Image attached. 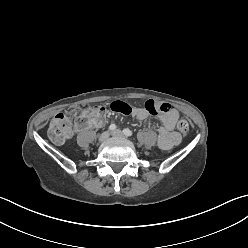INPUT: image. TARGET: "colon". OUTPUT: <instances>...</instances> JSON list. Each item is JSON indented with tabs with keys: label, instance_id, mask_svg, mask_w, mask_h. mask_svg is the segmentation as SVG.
Listing matches in <instances>:
<instances>
[{
	"label": "colon",
	"instance_id": "obj_1",
	"mask_svg": "<svg viewBox=\"0 0 248 248\" xmlns=\"http://www.w3.org/2000/svg\"><path fill=\"white\" fill-rule=\"evenodd\" d=\"M144 107L153 115L167 113L171 110L169 104L156 100L146 101ZM110 109L113 112L123 115H129L132 112L131 105L123 101L112 102L110 104ZM104 111V107L100 105L87 104L81 107L82 116L88 123L94 125H98L103 121ZM68 116V112L60 113L51 121L48 128V136L53 142L61 144L71 135L72 129ZM177 128L181 133L187 134L189 131V124L185 119H180L177 123Z\"/></svg>",
	"mask_w": 248,
	"mask_h": 248
}]
</instances>
